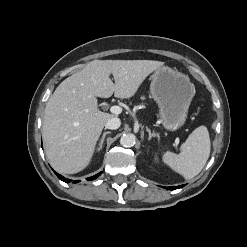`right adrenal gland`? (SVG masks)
I'll list each match as a JSON object with an SVG mask.
<instances>
[{"label": "right adrenal gland", "instance_id": "obj_1", "mask_svg": "<svg viewBox=\"0 0 247 247\" xmlns=\"http://www.w3.org/2000/svg\"><path fill=\"white\" fill-rule=\"evenodd\" d=\"M110 133H111L110 131H107V132H104L103 133V136H102V138H101V140L99 142L98 150H101L102 149L103 144H104L105 137H106L107 134H110Z\"/></svg>", "mask_w": 247, "mask_h": 247}]
</instances>
